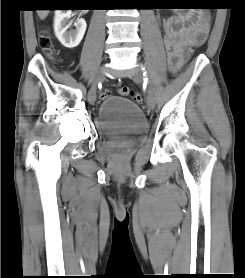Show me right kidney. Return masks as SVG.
<instances>
[{"label":"right kidney","instance_id":"obj_1","mask_svg":"<svg viewBox=\"0 0 245 278\" xmlns=\"http://www.w3.org/2000/svg\"><path fill=\"white\" fill-rule=\"evenodd\" d=\"M71 10H55L54 32L58 40L63 46L69 49L77 47L86 31V22L84 19H78L75 23V29L68 30L72 22Z\"/></svg>","mask_w":245,"mask_h":278}]
</instances>
